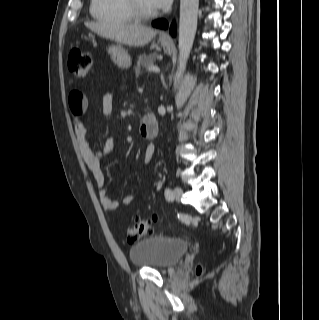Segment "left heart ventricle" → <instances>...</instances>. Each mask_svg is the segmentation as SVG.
I'll return each instance as SVG.
<instances>
[{
	"instance_id": "b2bd125f",
	"label": "left heart ventricle",
	"mask_w": 319,
	"mask_h": 320,
	"mask_svg": "<svg viewBox=\"0 0 319 320\" xmlns=\"http://www.w3.org/2000/svg\"><path fill=\"white\" fill-rule=\"evenodd\" d=\"M142 7L146 10H154V8L150 5L149 0H139Z\"/></svg>"
}]
</instances>
